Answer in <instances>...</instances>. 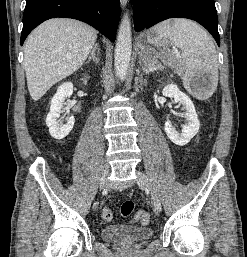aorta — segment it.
<instances>
[{
  "mask_svg": "<svg viewBox=\"0 0 247 257\" xmlns=\"http://www.w3.org/2000/svg\"><path fill=\"white\" fill-rule=\"evenodd\" d=\"M132 51V33L128 13L123 16L119 26L115 47L114 64L117 76L124 80L129 68Z\"/></svg>",
  "mask_w": 247,
  "mask_h": 257,
  "instance_id": "762f6f07",
  "label": "aorta"
}]
</instances>
